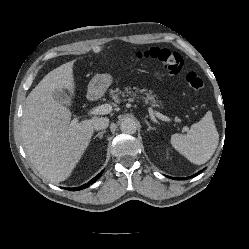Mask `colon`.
<instances>
[{"label":"colon","instance_id":"1","mask_svg":"<svg viewBox=\"0 0 249 249\" xmlns=\"http://www.w3.org/2000/svg\"><path fill=\"white\" fill-rule=\"evenodd\" d=\"M135 58L153 61L171 75H178L183 68V59L180 54L159 47L137 51ZM185 80L194 90H200L203 87L202 79L195 72L187 73Z\"/></svg>","mask_w":249,"mask_h":249}]
</instances>
